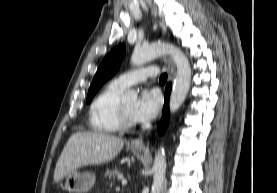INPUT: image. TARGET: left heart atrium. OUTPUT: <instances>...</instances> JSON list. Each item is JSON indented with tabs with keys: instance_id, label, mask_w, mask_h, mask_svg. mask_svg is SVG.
<instances>
[{
	"instance_id": "39dd6f15",
	"label": "left heart atrium",
	"mask_w": 277,
	"mask_h": 193,
	"mask_svg": "<svg viewBox=\"0 0 277 193\" xmlns=\"http://www.w3.org/2000/svg\"><path fill=\"white\" fill-rule=\"evenodd\" d=\"M161 105L160 95L156 91H143L133 110V119L137 122L152 120L158 113Z\"/></svg>"
}]
</instances>
